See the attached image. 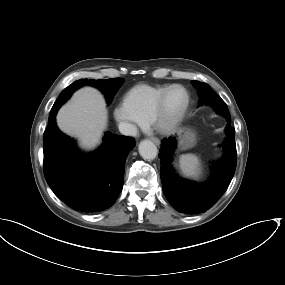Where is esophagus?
Returning a JSON list of instances; mask_svg holds the SVG:
<instances>
[{
  "label": "esophagus",
  "instance_id": "obj_1",
  "mask_svg": "<svg viewBox=\"0 0 285 285\" xmlns=\"http://www.w3.org/2000/svg\"><path fill=\"white\" fill-rule=\"evenodd\" d=\"M151 140H152L156 145H158V146H159L160 143H161L160 140H159L158 138H156V137H152Z\"/></svg>",
  "mask_w": 285,
  "mask_h": 285
}]
</instances>
